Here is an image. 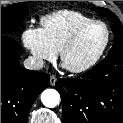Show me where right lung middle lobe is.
Wrapping results in <instances>:
<instances>
[{
  "label": "right lung middle lobe",
  "mask_w": 123,
  "mask_h": 123,
  "mask_svg": "<svg viewBox=\"0 0 123 123\" xmlns=\"http://www.w3.org/2000/svg\"><path fill=\"white\" fill-rule=\"evenodd\" d=\"M27 12L28 6L25 4L1 8V34L11 28L17 27L25 19Z\"/></svg>",
  "instance_id": "dd1d6c3e"
}]
</instances>
